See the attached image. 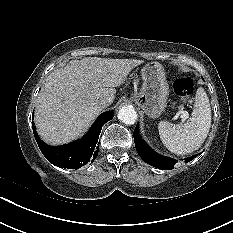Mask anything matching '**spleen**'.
<instances>
[{"mask_svg": "<svg viewBox=\"0 0 233 233\" xmlns=\"http://www.w3.org/2000/svg\"><path fill=\"white\" fill-rule=\"evenodd\" d=\"M211 126L209 99L202 87L195 96L194 109L189 122L172 124L160 121L159 135L164 146L171 152L181 155L196 151L204 143Z\"/></svg>", "mask_w": 233, "mask_h": 233, "instance_id": "spleen-1", "label": "spleen"}]
</instances>
